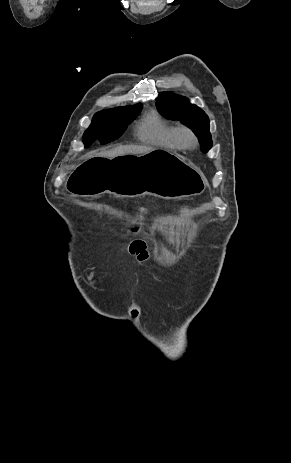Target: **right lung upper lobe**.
Returning a JSON list of instances; mask_svg holds the SVG:
<instances>
[{
	"mask_svg": "<svg viewBox=\"0 0 291 463\" xmlns=\"http://www.w3.org/2000/svg\"><path fill=\"white\" fill-rule=\"evenodd\" d=\"M137 105H141V104H137ZM135 105V106H137ZM134 106H130V107H119V108H115L114 110H122V109H128V108H132Z\"/></svg>",
	"mask_w": 291,
	"mask_h": 463,
	"instance_id": "right-lung-upper-lobe-1",
	"label": "right lung upper lobe"
}]
</instances>
